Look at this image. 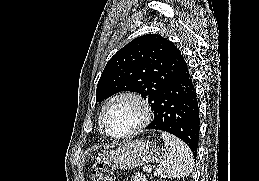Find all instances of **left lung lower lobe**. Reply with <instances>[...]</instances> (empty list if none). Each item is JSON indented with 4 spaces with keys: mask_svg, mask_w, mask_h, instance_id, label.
<instances>
[{
    "mask_svg": "<svg viewBox=\"0 0 259 181\" xmlns=\"http://www.w3.org/2000/svg\"><path fill=\"white\" fill-rule=\"evenodd\" d=\"M182 57V55H181ZM155 118L146 128L169 132L183 140L197 156L199 138V107L196 92L182 57L180 71L160 97Z\"/></svg>",
    "mask_w": 259,
    "mask_h": 181,
    "instance_id": "left-lung-lower-lobe-1",
    "label": "left lung lower lobe"
}]
</instances>
